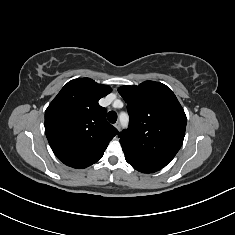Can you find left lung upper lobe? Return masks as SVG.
I'll use <instances>...</instances> for the list:
<instances>
[{
	"instance_id": "left-lung-upper-lobe-1",
	"label": "left lung upper lobe",
	"mask_w": 235,
	"mask_h": 235,
	"mask_svg": "<svg viewBox=\"0 0 235 235\" xmlns=\"http://www.w3.org/2000/svg\"><path fill=\"white\" fill-rule=\"evenodd\" d=\"M118 92L127 103L129 127L119 133L126 156L165 167L179 151L185 136L186 115L166 85L145 81L122 86Z\"/></svg>"
}]
</instances>
